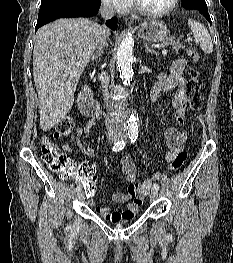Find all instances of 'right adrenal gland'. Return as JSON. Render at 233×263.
<instances>
[{"label":"right adrenal gland","mask_w":233,"mask_h":263,"mask_svg":"<svg viewBox=\"0 0 233 263\" xmlns=\"http://www.w3.org/2000/svg\"><path fill=\"white\" fill-rule=\"evenodd\" d=\"M102 52L99 50V51H96L92 56H91V60L94 62V61H97L98 59V56H101Z\"/></svg>","instance_id":"1"}]
</instances>
